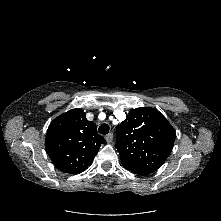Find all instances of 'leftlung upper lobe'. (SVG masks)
Returning <instances> with one entry per match:
<instances>
[{
	"label": "left lung upper lobe",
	"mask_w": 221,
	"mask_h": 221,
	"mask_svg": "<svg viewBox=\"0 0 221 221\" xmlns=\"http://www.w3.org/2000/svg\"><path fill=\"white\" fill-rule=\"evenodd\" d=\"M116 148L122 165L131 172L160 168L175 141V130L156 109L131 110L117 126Z\"/></svg>",
	"instance_id": "obj_1"
}]
</instances>
